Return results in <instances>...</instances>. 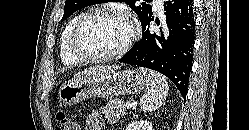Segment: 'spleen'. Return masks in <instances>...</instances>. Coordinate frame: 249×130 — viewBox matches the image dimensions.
Listing matches in <instances>:
<instances>
[{
  "instance_id": "1",
  "label": "spleen",
  "mask_w": 249,
  "mask_h": 130,
  "mask_svg": "<svg viewBox=\"0 0 249 130\" xmlns=\"http://www.w3.org/2000/svg\"><path fill=\"white\" fill-rule=\"evenodd\" d=\"M141 73L145 76L147 90L140 99V106L144 112L157 110L164 104L168 94V82L162 74L141 68Z\"/></svg>"
}]
</instances>
